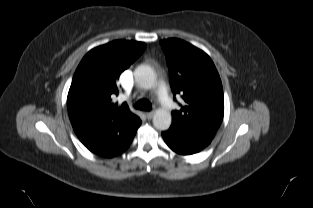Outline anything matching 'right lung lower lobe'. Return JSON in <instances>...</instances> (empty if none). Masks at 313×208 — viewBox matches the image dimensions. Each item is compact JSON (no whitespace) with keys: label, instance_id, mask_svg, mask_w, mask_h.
<instances>
[{"label":"right lung lower lobe","instance_id":"obj_1","mask_svg":"<svg viewBox=\"0 0 313 208\" xmlns=\"http://www.w3.org/2000/svg\"><path fill=\"white\" fill-rule=\"evenodd\" d=\"M141 120L130 129L118 125H107L99 129L74 130L80 141L94 154L114 157L124 152L131 144Z\"/></svg>","mask_w":313,"mask_h":208}]
</instances>
